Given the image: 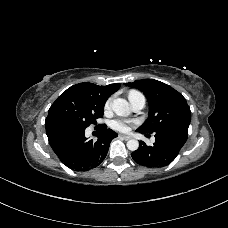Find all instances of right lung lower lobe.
<instances>
[{
	"label": "right lung lower lobe",
	"instance_id": "98d812e1",
	"mask_svg": "<svg viewBox=\"0 0 228 228\" xmlns=\"http://www.w3.org/2000/svg\"><path fill=\"white\" fill-rule=\"evenodd\" d=\"M49 144L61 162L74 171H88L99 166L117 133L100 125L98 140L85 137V128L62 121L45 123Z\"/></svg>",
	"mask_w": 228,
	"mask_h": 228
}]
</instances>
